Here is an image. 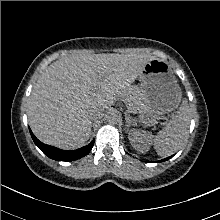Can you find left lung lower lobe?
I'll list each match as a JSON object with an SVG mask.
<instances>
[{"mask_svg":"<svg viewBox=\"0 0 220 220\" xmlns=\"http://www.w3.org/2000/svg\"><path fill=\"white\" fill-rule=\"evenodd\" d=\"M171 157H172V156H170V157H168V158H166V159H162V160L156 161V163H158V162H164V161L168 160V159L171 158Z\"/></svg>","mask_w":220,"mask_h":220,"instance_id":"obj_1","label":"left lung lower lobe"}]
</instances>
